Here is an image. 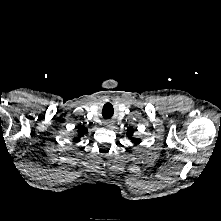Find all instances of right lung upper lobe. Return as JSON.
I'll return each mask as SVG.
<instances>
[{
	"mask_svg": "<svg viewBox=\"0 0 221 221\" xmlns=\"http://www.w3.org/2000/svg\"><path fill=\"white\" fill-rule=\"evenodd\" d=\"M85 133H87V129L84 126H80L78 128V137L75 138V142L79 141L80 137H82Z\"/></svg>",
	"mask_w": 221,
	"mask_h": 221,
	"instance_id": "1",
	"label": "right lung upper lobe"
}]
</instances>
